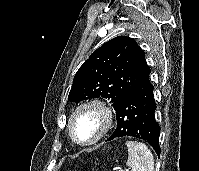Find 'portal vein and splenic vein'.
Here are the masks:
<instances>
[{
  "instance_id": "18ae733b",
  "label": "portal vein and splenic vein",
  "mask_w": 199,
  "mask_h": 171,
  "mask_svg": "<svg viewBox=\"0 0 199 171\" xmlns=\"http://www.w3.org/2000/svg\"><path fill=\"white\" fill-rule=\"evenodd\" d=\"M120 171H129V168L120 169Z\"/></svg>"
}]
</instances>
